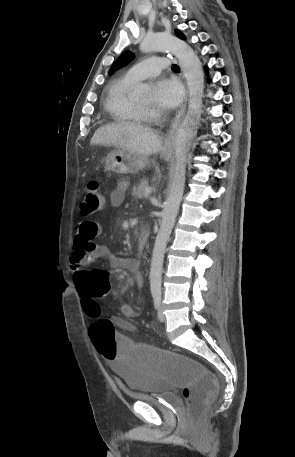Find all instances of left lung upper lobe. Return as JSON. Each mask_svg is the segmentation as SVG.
Masks as SVG:
<instances>
[{
    "label": "left lung upper lobe",
    "instance_id": "5c2ea615",
    "mask_svg": "<svg viewBox=\"0 0 295 457\" xmlns=\"http://www.w3.org/2000/svg\"><path fill=\"white\" fill-rule=\"evenodd\" d=\"M176 35L181 38L185 39V36L180 32L176 31ZM134 57V54L131 53L130 51H126L123 53L111 66L109 70V75L113 74L116 70L120 69L124 65H126L128 62H130Z\"/></svg>",
    "mask_w": 295,
    "mask_h": 457
}]
</instances>
